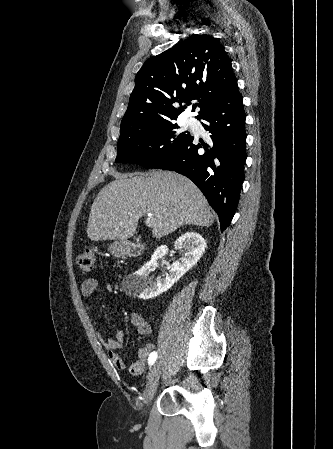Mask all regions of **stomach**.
Segmentation results:
<instances>
[{
  "mask_svg": "<svg viewBox=\"0 0 333 449\" xmlns=\"http://www.w3.org/2000/svg\"><path fill=\"white\" fill-rule=\"evenodd\" d=\"M109 251L114 256H122L124 254V248L120 242H114L111 246H109Z\"/></svg>",
  "mask_w": 333,
  "mask_h": 449,
  "instance_id": "0dacf381",
  "label": "stomach"
}]
</instances>
